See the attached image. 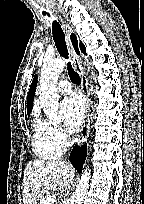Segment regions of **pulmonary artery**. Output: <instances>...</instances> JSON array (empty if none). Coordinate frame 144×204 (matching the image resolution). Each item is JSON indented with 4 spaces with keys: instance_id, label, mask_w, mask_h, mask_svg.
Wrapping results in <instances>:
<instances>
[{
    "instance_id": "e3ab8cb5",
    "label": "pulmonary artery",
    "mask_w": 144,
    "mask_h": 204,
    "mask_svg": "<svg viewBox=\"0 0 144 204\" xmlns=\"http://www.w3.org/2000/svg\"><path fill=\"white\" fill-rule=\"evenodd\" d=\"M71 89H72L71 84L67 80H62L58 83L57 91L60 94L63 95L69 94L71 92Z\"/></svg>"
}]
</instances>
